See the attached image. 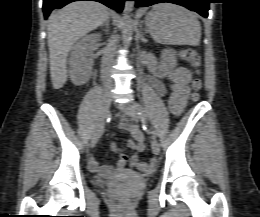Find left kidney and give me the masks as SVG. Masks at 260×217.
I'll return each mask as SVG.
<instances>
[{
	"instance_id": "5707ae66",
	"label": "left kidney",
	"mask_w": 260,
	"mask_h": 217,
	"mask_svg": "<svg viewBox=\"0 0 260 217\" xmlns=\"http://www.w3.org/2000/svg\"><path fill=\"white\" fill-rule=\"evenodd\" d=\"M176 51L173 49H164L161 53L160 69L168 72L177 65Z\"/></svg>"
}]
</instances>
